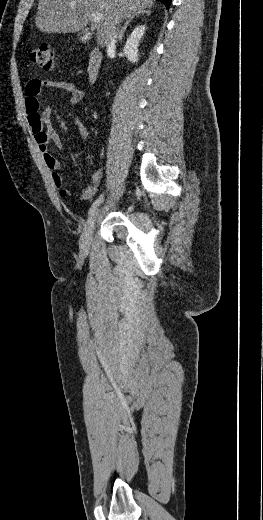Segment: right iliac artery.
Wrapping results in <instances>:
<instances>
[{"label":"right iliac artery","instance_id":"obj_1","mask_svg":"<svg viewBox=\"0 0 263 520\" xmlns=\"http://www.w3.org/2000/svg\"><path fill=\"white\" fill-rule=\"evenodd\" d=\"M103 197H104V194H101L95 201L94 203L92 204L90 210H89V216L92 215L94 213V211L96 210V208L99 206V204L101 203V201L103 200Z\"/></svg>","mask_w":263,"mask_h":520}]
</instances>
